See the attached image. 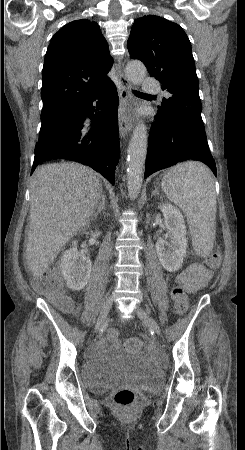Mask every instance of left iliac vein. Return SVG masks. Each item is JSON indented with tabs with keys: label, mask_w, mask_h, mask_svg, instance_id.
Instances as JSON below:
<instances>
[{
	"label": "left iliac vein",
	"mask_w": 245,
	"mask_h": 450,
	"mask_svg": "<svg viewBox=\"0 0 245 450\" xmlns=\"http://www.w3.org/2000/svg\"><path fill=\"white\" fill-rule=\"evenodd\" d=\"M135 313L136 315L145 323H147L148 325H150L151 329L157 334V335H161V329L159 327V325L157 324V322L147 313L146 310H144L143 308L137 306L135 308Z\"/></svg>",
	"instance_id": "1"
}]
</instances>
